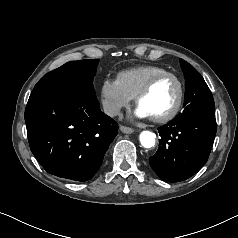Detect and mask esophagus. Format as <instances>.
<instances>
[{
	"mask_svg": "<svg viewBox=\"0 0 238 238\" xmlns=\"http://www.w3.org/2000/svg\"><path fill=\"white\" fill-rule=\"evenodd\" d=\"M119 129L125 134H131L134 132V129L127 127V126H123V125H120Z\"/></svg>",
	"mask_w": 238,
	"mask_h": 238,
	"instance_id": "1",
	"label": "esophagus"
}]
</instances>
